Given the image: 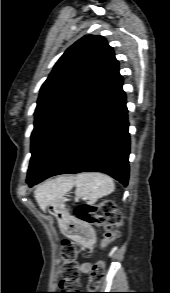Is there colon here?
<instances>
[{
  "label": "colon",
  "mask_w": 170,
  "mask_h": 293,
  "mask_svg": "<svg viewBox=\"0 0 170 293\" xmlns=\"http://www.w3.org/2000/svg\"><path fill=\"white\" fill-rule=\"evenodd\" d=\"M74 215L79 223L95 225L104 229L100 248H105L120 236L118 227L122 223V215L113 201L105 200L99 206H78L74 210ZM60 226L62 231L66 233L77 229V223L68 216L60 218ZM78 254V244L68 240L63 241L60 248L62 289L53 293H91L81 292L82 287L77 262ZM104 276L105 265L103 261H100L91 273L89 286L94 287L100 284Z\"/></svg>",
  "instance_id": "1"
}]
</instances>
